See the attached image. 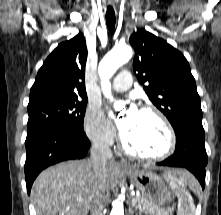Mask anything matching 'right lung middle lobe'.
<instances>
[{"instance_id":"1","label":"right lung middle lobe","mask_w":221,"mask_h":215,"mask_svg":"<svg viewBox=\"0 0 221 215\" xmlns=\"http://www.w3.org/2000/svg\"><path fill=\"white\" fill-rule=\"evenodd\" d=\"M87 99L51 100L28 105L27 135L50 128L83 130Z\"/></svg>"}]
</instances>
